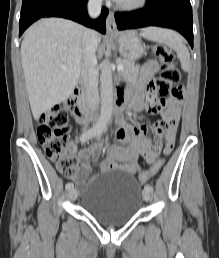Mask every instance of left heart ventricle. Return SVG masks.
<instances>
[{
    "label": "left heart ventricle",
    "mask_w": 219,
    "mask_h": 258,
    "mask_svg": "<svg viewBox=\"0 0 219 258\" xmlns=\"http://www.w3.org/2000/svg\"><path fill=\"white\" fill-rule=\"evenodd\" d=\"M122 1L128 2V1H133V0H122Z\"/></svg>",
    "instance_id": "b2bd125f"
}]
</instances>
